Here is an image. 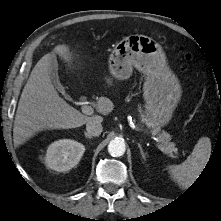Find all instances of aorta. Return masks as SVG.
Masks as SVG:
<instances>
[{
	"instance_id": "762f6f07",
	"label": "aorta",
	"mask_w": 221,
	"mask_h": 221,
	"mask_svg": "<svg viewBox=\"0 0 221 221\" xmlns=\"http://www.w3.org/2000/svg\"><path fill=\"white\" fill-rule=\"evenodd\" d=\"M125 149V143L120 139L112 140L108 145V152L114 157L122 156L125 153Z\"/></svg>"
}]
</instances>
